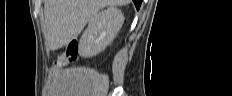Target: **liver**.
<instances>
[{
    "mask_svg": "<svg viewBox=\"0 0 232 96\" xmlns=\"http://www.w3.org/2000/svg\"><path fill=\"white\" fill-rule=\"evenodd\" d=\"M129 3L130 0H45L46 43L51 50H58L76 39L100 9Z\"/></svg>",
    "mask_w": 232,
    "mask_h": 96,
    "instance_id": "liver-1",
    "label": "liver"
}]
</instances>
